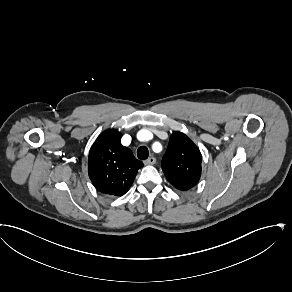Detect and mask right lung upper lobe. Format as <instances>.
<instances>
[{"mask_svg":"<svg viewBox=\"0 0 292 292\" xmlns=\"http://www.w3.org/2000/svg\"><path fill=\"white\" fill-rule=\"evenodd\" d=\"M122 134L116 129L101 133L88 156V173L95 188L107 195L122 196L131 187L143 163L121 145Z\"/></svg>","mask_w":292,"mask_h":292,"instance_id":"1","label":"right lung upper lobe"}]
</instances>
